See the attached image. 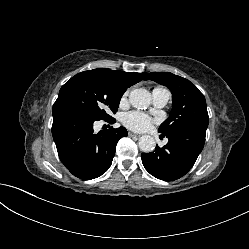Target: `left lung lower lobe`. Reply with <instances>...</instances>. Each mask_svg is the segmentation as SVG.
<instances>
[{
  "instance_id": "1",
  "label": "left lung lower lobe",
  "mask_w": 249,
  "mask_h": 249,
  "mask_svg": "<svg viewBox=\"0 0 249 249\" xmlns=\"http://www.w3.org/2000/svg\"><path fill=\"white\" fill-rule=\"evenodd\" d=\"M206 130L183 129L166 135L168 143L142 153L145 169L154 177L173 181L184 176L194 165L205 143Z\"/></svg>"
}]
</instances>
